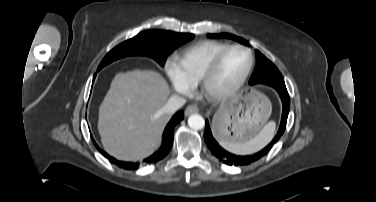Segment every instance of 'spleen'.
Here are the masks:
<instances>
[{
    "label": "spleen",
    "instance_id": "spleen-1",
    "mask_svg": "<svg viewBox=\"0 0 376 202\" xmlns=\"http://www.w3.org/2000/svg\"><path fill=\"white\" fill-rule=\"evenodd\" d=\"M276 124L274 121L268 122L263 129L260 131L258 135L254 138L242 142V143H231V142H224L220 141V145L226 149L227 151L238 154V155H246L252 154L263 147H265L273 138L275 133Z\"/></svg>",
    "mask_w": 376,
    "mask_h": 202
}]
</instances>
